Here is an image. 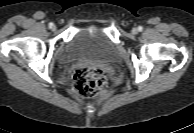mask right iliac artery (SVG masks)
I'll return each instance as SVG.
<instances>
[{"instance_id":"82829eb1","label":"right iliac artery","mask_w":194,"mask_h":133,"mask_svg":"<svg viewBox=\"0 0 194 133\" xmlns=\"http://www.w3.org/2000/svg\"><path fill=\"white\" fill-rule=\"evenodd\" d=\"M54 24L53 23H49V27L51 28Z\"/></svg>"}]
</instances>
